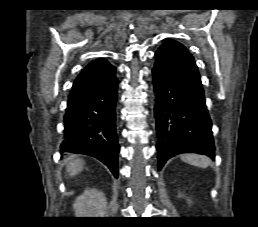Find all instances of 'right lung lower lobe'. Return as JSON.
I'll return each mask as SVG.
<instances>
[{
    "mask_svg": "<svg viewBox=\"0 0 258 227\" xmlns=\"http://www.w3.org/2000/svg\"><path fill=\"white\" fill-rule=\"evenodd\" d=\"M116 69L106 60H95L77 76L64 116L61 153L97 158L118 177L119 145L116 133Z\"/></svg>",
    "mask_w": 258,
    "mask_h": 227,
    "instance_id": "right-lung-lower-lobe-1",
    "label": "right lung lower lobe"
}]
</instances>
